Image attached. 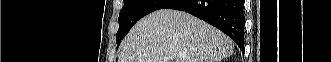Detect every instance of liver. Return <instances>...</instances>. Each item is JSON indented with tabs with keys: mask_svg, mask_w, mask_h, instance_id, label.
<instances>
[{
	"mask_svg": "<svg viewBox=\"0 0 331 62\" xmlns=\"http://www.w3.org/2000/svg\"><path fill=\"white\" fill-rule=\"evenodd\" d=\"M233 50V41L215 27L188 13L161 9L135 24L118 62H219ZM169 56L173 59L164 60Z\"/></svg>",
	"mask_w": 331,
	"mask_h": 62,
	"instance_id": "obj_1",
	"label": "liver"
}]
</instances>
